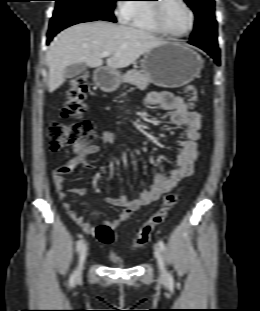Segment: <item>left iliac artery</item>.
I'll use <instances>...</instances> for the list:
<instances>
[{"instance_id":"obj_1","label":"left iliac artery","mask_w":260,"mask_h":311,"mask_svg":"<svg viewBox=\"0 0 260 311\" xmlns=\"http://www.w3.org/2000/svg\"><path fill=\"white\" fill-rule=\"evenodd\" d=\"M158 244H159V247H160L161 251L165 252V244H164V242L162 240H160ZM168 279H169L170 282H173V276H172V274L170 272L168 273Z\"/></svg>"}]
</instances>
